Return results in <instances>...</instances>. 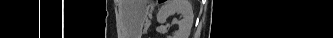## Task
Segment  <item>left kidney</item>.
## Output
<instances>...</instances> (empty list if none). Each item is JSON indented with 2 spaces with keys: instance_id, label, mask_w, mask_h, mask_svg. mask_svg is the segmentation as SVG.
Returning a JSON list of instances; mask_svg holds the SVG:
<instances>
[{
  "instance_id": "obj_1",
  "label": "left kidney",
  "mask_w": 333,
  "mask_h": 38,
  "mask_svg": "<svg viewBox=\"0 0 333 38\" xmlns=\"http://www.w3.org/2000/svg\"><path fill=\"white\" fill-rule=\"evenodd\" d=\"M180 14L178 29L173 33L172 38H188L193 24V10L188 0H167L157 13L158 23H165L169 16Z\"/></svg>"
}]
</instances>
